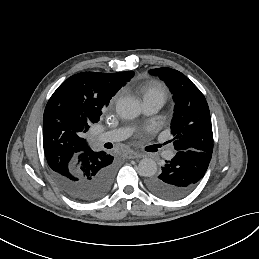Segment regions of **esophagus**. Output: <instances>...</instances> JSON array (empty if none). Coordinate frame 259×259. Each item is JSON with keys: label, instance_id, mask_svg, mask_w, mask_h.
<instances>
[{"label": "esophagus", "instance_id": "34e87169", "mask_svg": "<svg viewBox=\"0 0 259 259\" xmlns=\"http://www.w3.org/2000/svg\"><path fill=\"white\" fill-rule=\"evenodd\" d=\"M124 157L126 159H136V158H141L142 155L138 152H135V151H129V152L124 154Z\"/></svg>", "mask_w": 259, "mask_h": 259}]
</instances>
